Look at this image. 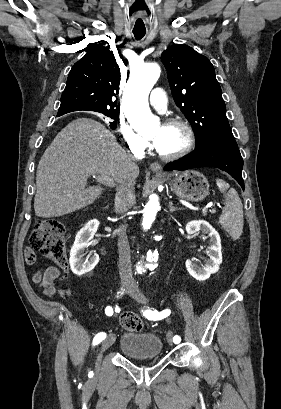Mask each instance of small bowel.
Returning <instances> with one entry per match:
<instances>
[{"label": "small bowel", "instance_id": "small-bowel-1", "mask_svg": "<svg viewBox=\"0 0 281 409\" xmlns=\"http://www.w3.org/2000/svg\"><path fill=\"white\" fill-rule=\"evenodd\" d=\"M30 246L28 245L24 252V257L26 258L25 264L27 267H34L36 264V256L32 250H30ZM34 257V258H33ZM62 275V270L57 266H49L43 272H34L32 274V280L38 281L35 283H39L45 295L47 296H61L64 298H72L74 296L73 291L70 289H66L60 286L55 285V281H57Z\"/></svg>", "mask_w": 281, "mask_h": 409}]
</instances>
